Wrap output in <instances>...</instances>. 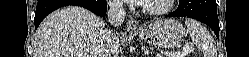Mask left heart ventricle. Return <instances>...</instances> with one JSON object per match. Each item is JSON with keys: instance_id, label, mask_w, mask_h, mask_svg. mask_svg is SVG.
<instances>
[{"instance_id": "b2bd125f", "label": "left heart ventricle", "mask_w": 249, "mask_h": 57, "mask_svg": "<svg viewBox=\"0 0 249 57\" xmlns=\"http://www.w3.org/2000/svg\"><path fill=\"white\" fill-rule=\"evenodd\" d=\"M147 3L153 7H160L165 4V0H154L148 1Z\"/></svg>"}]
</instances>
